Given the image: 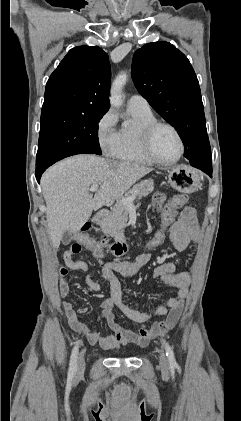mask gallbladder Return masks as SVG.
I'll list each match as a JSON object with an SVG mask.
<instances>
[{
	"label": "gallbladder",
	"mask_w": 241,
	"mask_h": 421,
	"mask_svg": "<svg viewBox=\"0 0 241 421\" xmlns=\"http://www.w3.org/2000/svg\"><path fill=\"white\" fill-rule=\"evenodd\" d=\"M71 239H72L71 232L70 231H65L64 234H63V236H62L61 241H62V243L64 245H68L71 242Z\"/></svg>",
	"instance_id": "obj_1"
}]
</instances>
